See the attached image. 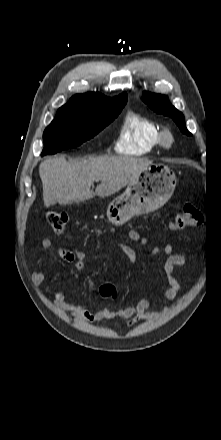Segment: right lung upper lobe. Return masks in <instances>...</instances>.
Segmentation results:
<instances>
[{
  "mask_svg": "<svg viewBox=\"0 0 221 440\" xmlns=\"http://www.w3.org/2000/svg\"><path fill=\"white\" fill-rule=\"evenodd\" d=\"M127 102V94L122 93L115 98H108L100 93H85L74 95L69 102L62 106L61 109H102V108H115L124 107Z\"/></svg>",
  "mask_w": 221,
  "mask_h": 440,
  "instance_id": "obj_1",
  "label": "right lung upper lobe"
}]
</instances>
